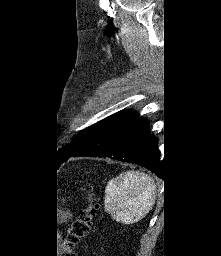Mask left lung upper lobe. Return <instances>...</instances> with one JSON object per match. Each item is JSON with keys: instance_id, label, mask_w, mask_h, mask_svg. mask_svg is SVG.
Segmentation results:
<instances>
[{"instance_id": "1", "label": "left lung upper lobe", "mask_w": 221, "mask_h": 256, "mask_svg": "<svg viewBox=\"0 0 221 256\" xmlns=\"http://www.w3.org/2000/svg\"><path fill=\"white\" fill-rule=\"evenodd\" d=\"M127 112H129V110H125V111H121L116 114H113V115L107 117L106 119L96 123L92 127H89L87 129L81 131L80 133L76 134L70 143L65 144L62 148H60L58 150L57 155H56V162H58V164H61V163L65 162L66 160H68L73 155V153L76 151V149L86 139H88L93 133H95L105 122H107L121 114H125Z\"/></svg>"}]
</instances>
